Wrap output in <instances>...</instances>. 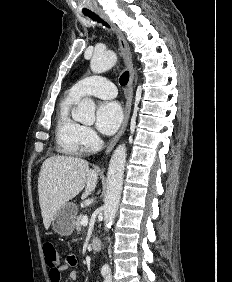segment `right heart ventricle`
Instances as JSON below:
<instances>
[{
    "mask_svg": "<svg viewBox=\"0 0 232 282\" xmlns=\"http://www.w3.org/2000/svg\"><path fill=\"white\" fill-rule=\"evenodd\" d=\"M78 99L69 93L60 101L55 121V146L64 155H77L81 152L82 126L72 118L71 111Z\"/></svg>",
    "mask_w": 232,
    "mask_h": 282,
    "instance_id": "right-heart-ventricle-1",
    "label": "right heart ventricle"
}]
</instances>
